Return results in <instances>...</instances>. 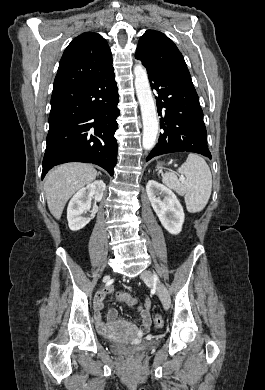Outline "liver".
I'll list each match as a JSON object with an SVG mask.
<instances>
[{"instance_id": "1", "label": "liver", "mask_w": 265, "mask_h": 390, "mask_svg": "<svg viewBox=\"0 0 265 390\" xmlns=\"http://www.w3.org/2000/svg\"><path fill=\"white\" fill-rule=\"evenodd\" d=\"M92 165L67 163L52 169L46 176L44 190L51 214L60 219L66 202L85 185L96 179Z\"/></svg>"}]
</instances>
